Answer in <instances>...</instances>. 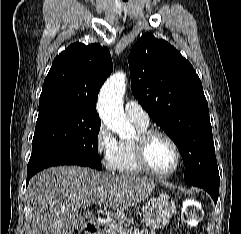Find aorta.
<instances>
[{
	"label": "aorta",
	"instance_id": "1",
	"mask_svg": "<svg viewBox=\"0 0 241 234\" xmlns=\"http://www.w3.org/2000/svg\"><path fill=\"white\" fill-rule=\"evenodd\" d=\"M126 89V76L117 72L102 86L98 97V112L104 124L122 139L135 134L123 109V96Z\"/></svg>",
	"mask_w": 241,
	"mask_h": 234
}]
</instances>
